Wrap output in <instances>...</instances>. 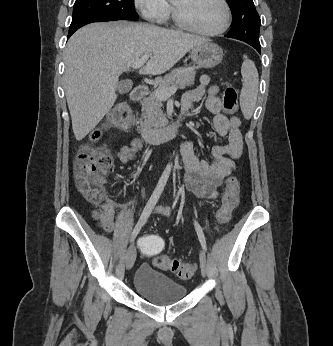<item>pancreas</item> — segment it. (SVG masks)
Instances as JSON below:
<instances>
[{
    "label": "pancreas",
    "mask_w": 333,
    "mask_h": 346,
    "mask_svg": "<svg viewBox=\"0 0 333 346\" xmlns=\"http://www.w3.org/2000/svg\"><path fill=\"white\" fill-rule=\"evenodd\" d=\"M195 70L191 67H180L166 74L163 79L156 82L155 90L142 101V116L140 119L141 128L146 132H156L164 127L168 120L162 111V99L158 98L156 91L163 88H170L176 85L177 88L184 89L194 84Z\"/></svg>",
    "instance_id": "obj_1"
}]
</instances>
